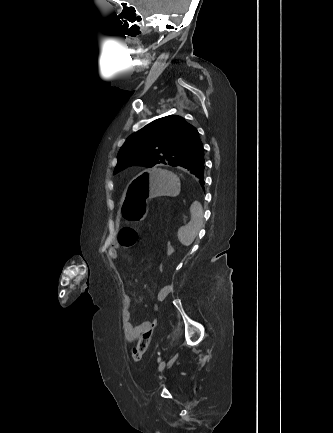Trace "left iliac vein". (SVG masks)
<instances>
[{
  "mask_svg": "<svg viewBox=\"0 0 333 433\" xmlns=\"http://www.w3.org/2000/svg\"><path fill=\"white\" fill-rule=\"evenodd\" d=\"M165 366H166L165 361H162V362L159 364L158 370H159V371L164 370Z\"/></svg>",
  "mask_w": 333,
  "mask_h": 433,
  "instance_id": "obj_1",
  "label": "left iliac vein"
}]
</instances>
